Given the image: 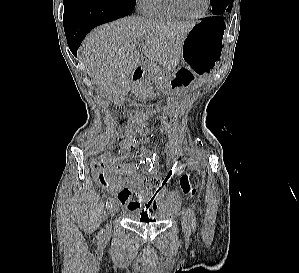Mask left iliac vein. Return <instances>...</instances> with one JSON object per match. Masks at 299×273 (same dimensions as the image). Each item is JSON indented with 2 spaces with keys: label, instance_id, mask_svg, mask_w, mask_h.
I'll return each mask as SVG.
<instances>
[{
  "label": "left iliac vein",
  "instance_id": "obj_1",
  "mask_svg": "<svg viewBox=\"0 0 299 273\" xmlns=\"http://www.w3.org/2000/svg\"><path fill=\"white\" fill-rule=\"evenodd\" d=\"M182 229L186 235L190 234L191 220H190V215L187 211L182 212Z\"/></svg>",
  "mask_w": 299,
  "mask_h": 273
}]
</instances>
